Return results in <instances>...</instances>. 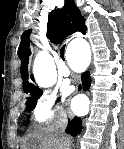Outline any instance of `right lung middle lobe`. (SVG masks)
I'll list each match as a JSON object with an SVG mask.
<instances>
[{"label": "right lung middle lobe", "mask_w": 124, "mask_h": 149, "mask_svg": "<svg viewBox=\"0 0 124 149\" xmlns=\"http://www.w3.org/2000/svg\"><path fill=\"white\" fill-rule=\"evenodd\" d=\"M24 91L26 93H30V96L27 97L26 100V109L28 111H32L37 103V100L39 97L42 95V90L39 89L38 87H24Z\"/></svg>", "instance_id": "dd1d6c3e"}]
</instances>
